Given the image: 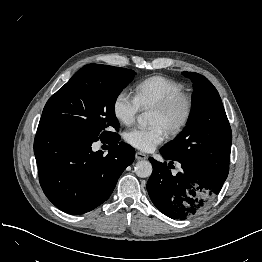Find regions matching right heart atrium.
Here are the masks:
<instances>
[{
  "label": "right heart atrium",
  "instance_id": "d8ad5b80",
  "mask_svg": "<svg viewBox=\"0 0 262 262\" xmlns=\"http://www.w3.org/2000/svg\"><path fill=\"white\" fill-rule=\"evenodd\" d=\"M140 110L141 107L134 96L125 90L116 96L113 103L114 116L124 125L133 123Z\"/></svg>",
  "mask_w": 262,
  "mask_h": 262
}]
</instances>
